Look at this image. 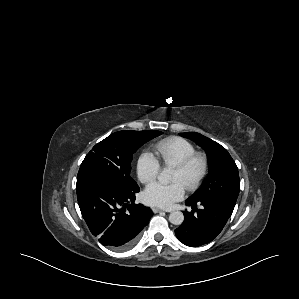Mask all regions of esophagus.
Wrapping results in <instances>:
<instances>
[{
  "instance_id": "34e87169",
  "label": "esophagus",
  "mask_w": 299,
  "mask_h": 299,
  "mask_svg": "<svg viewBox=\"0 0 299 299\" xmlns=\"http://www.w3.org/2000/svg\"><path fill=\"white\" fill-rule=\"evenodd\" d=\"M152 211H153L154 213L167 212V211H165V210H163V209H160V208H157V207H153V208H152Z\"/></svg>"
}]
</instances>
